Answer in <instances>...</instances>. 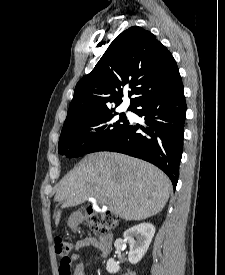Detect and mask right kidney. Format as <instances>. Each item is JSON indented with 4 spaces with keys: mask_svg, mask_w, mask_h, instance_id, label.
<instances>
[{
    "mask_svg": "<svg viewBox=\"0 0 225 275\" xmlns=\"http://www.w3.org/2000/svg\"><path fill=\"white\" fill-rule=\"evenodd\" d=\"M155 234V227L150 223H141L133 226L124 232V239L130 245L128 260L131 264L138 263L147 252L152 238ZM106 269L109 273L119 271V264L110 258L107 261Z\"/></svg>",
    "mask_w": 225,
    "mask_h": 275,
    "instance_id": "obj_1",
    "label": "right kidney"
}]
</instances>
